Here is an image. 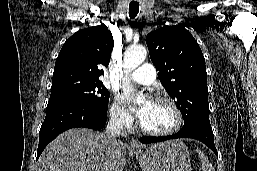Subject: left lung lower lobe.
<instances>
[{"label": "left lung lower lobe", "instance_id": "left-lung-lower-lobe-1", "mask_svg": "<svg viewBox=\"0 0 257 171\" xmlns=\"http://www.w3.org/2000/svg\"><path fill=\"white\" fill-rule=\"evenodd\" d=\"M177 138H192L199 140L208 146L218 156L214 144V134L212 127L211 125L205 123H192L190 125L184 126L182 130L174 135L163 137H142L140 138V142L148 144Z\"/></svg>", "mask_w": 257, "mask_h": 171}]
</instances>
